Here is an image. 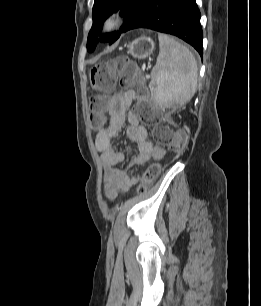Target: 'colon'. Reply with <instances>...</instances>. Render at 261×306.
<instances>
[{
    "label": "colon",
    "mask_w": 261,
    "mask_h": 306,
    "mask_svg": "<svg viewBox=\"0 0 261 306\" xmlns=\"http://www.w3.org/2000/svg\"><path fill=\"white\" fill-rule=\"evenodd\" d=\"M90 87L94 95L90 99L92 110L91 119L96 125L101 124L100 117L106 107V96L110 93L115 84L119 85L128 93L136 97L141 102L138 113L142 122L154 126L153 138L160 144L167 146L173 153H180L187 141V134L184 131L172 132L165 126H160L158 112L154 106L148 103V91L143 87L139 68L127 57H117L93 66L89 74ZM162 164L160 162L151 163L142 174V183L139 191H145L147 183L154 180Z\"/></svg>",
    "instance_id": "5ec220e1"
}]
</instances>
